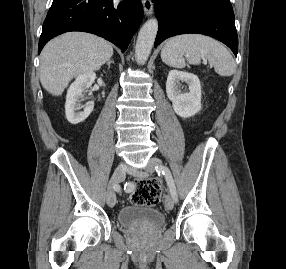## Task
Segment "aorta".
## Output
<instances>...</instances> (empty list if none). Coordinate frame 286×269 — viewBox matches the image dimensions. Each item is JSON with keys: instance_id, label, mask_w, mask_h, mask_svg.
I'll list each match as a JSON object with an SVG mask.
<instances>
[{"instance_id": "1", "label": "aorta", "mask_w": 286, "mask_h": 269, "mask_svg": "<svg viewBox=\"0 0 286 269\" xmlns=\"http://www.w3.org/2000/svg\"><path fill=\"white\" fill-rule=\"evenodd\" d=\"M157 31L158 21L156 18L149 19L140 29L135 46V57L138 63L144 64L148 59Z\"/></svg>"}]
</instances>
